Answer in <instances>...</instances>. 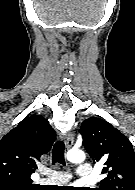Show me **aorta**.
Returning <instances> with one entry per match:
<instances>
[{"label": "aorta", "instance_id": "aorta-1", "mask_svg": "<svg viewBox=\"0 0 135 190\" xmlns=\"http://www.w3.org/2000/svg\"><path fill=\"white\" fill-rule=\"evenodd\" d=\"M67 159L73 163H80L85 159V154L81 150L72 149L68 151Z\"/></svg>", "mask_w": 135, "mask_h": 190}]
</instances>
